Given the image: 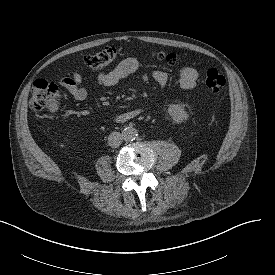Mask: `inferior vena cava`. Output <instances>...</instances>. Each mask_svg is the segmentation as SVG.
<instances>
[{
    "mask_svg": "<svg viewBox=\"0 0 275 275\" xmlns=\"http://www.w3.org/2000/svg\"><path fill=\"white\" fill-rule=\"evenodd\" d=\"M122 140V134H120L119 132H112L108 137V145L116 148L121 145Z\"/></svg>",
    "mask_w": 275,
    "mask_h": 275,
    "instance_id": "inferior-vena-cava-1",
    "label": "inferior vena cava"
}]
</instances>
